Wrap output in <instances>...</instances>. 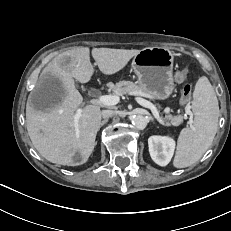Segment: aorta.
<instances>
[{
    "mask_svg": "<svg viewBox=\"0 0 231 231\" xmlns=\"http://www.w3.org/2000/svg\"><path fill=\"white\" fill-rule=\"evenodd\" d=\"M132 124L137 128V129H144L147 125V119L143 115H135L132 118Z\"/></svg>",
    "mask_w": 231,
    "mask_h": 231,
    "instance_id": "762f6f07",
    "label": "aorta"
}]
</instances>
